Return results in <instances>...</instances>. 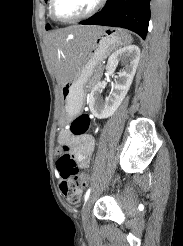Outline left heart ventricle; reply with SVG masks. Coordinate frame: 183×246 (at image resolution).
<instances>
[{
	"label": "left heart ventricle",
	"instance_id": "1",
	"mask_svg": "<svg viewBox=\"0 0 183 246\" xmlns=\"http://www.w3.org/2000/svg\"><path fill=\"white\" fill-rule=\"evenodd\" d=\"M97 0H56L55 13L60 18H72L87 12Z\"/></svg>",
	"mask_w": 183,
	"mask_h": 246
}]
</instances>
